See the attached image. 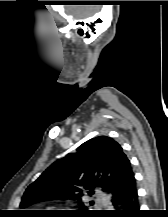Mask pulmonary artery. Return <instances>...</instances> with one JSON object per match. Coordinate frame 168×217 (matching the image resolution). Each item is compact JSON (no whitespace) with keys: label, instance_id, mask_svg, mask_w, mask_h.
Here are the masks:
<instances>
[{"label":"pulmonary artery","instance_id":"pulmonary-artery-1","mask_svg":"<svg viewBox=\"0 0 168 217\" xmlns=\"http://www.w3.org/2000/svg\"><path fill=\"white\" fill-rule=\"evenodd\" d=\"M98 201H99V203H101L103 205L109 204V200L105 196H103L102 194L98 195Z\"/></svg>","mask_w":168,"mask_h":217}]
</instances>
